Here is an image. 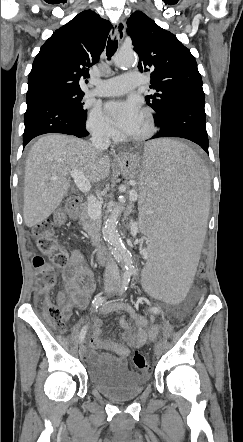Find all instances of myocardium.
<instances>
[{
	"label": "myocardium",
	"instance_id": "obj_1",
	"mask_svg": "<svg viewBox=\"0 0 243 442\" xmlns=\"http://www.w3.org/2000/svg\"><path fill=\"white\" fill-rule=\"evenodd\" d=\"M142 113L146 116L148 121V129L145 133L137 135V136H128V140L132 142H143L151 138L156 131V121L154 114L151 109L144 108Z\"/></svg>",
	"mask_w": 243,
	"mask_h": 442
}]
</instances>
